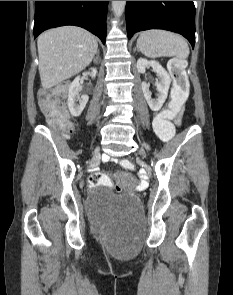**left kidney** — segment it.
<instances>
[{
  "label": "left kidney",
  "instance_id": "left-kidney-1",
  "mask_svg": "<svg viewBox=\"0 0 233 295\" xmlns=\"http://www.w3.org/2000/svg\"><path fill=\"white\" fill-rule=\"evenodd\" d=\"M147 66H151L157 73L159 81H156V88L159 95L157 99H152L149 85L146 82H142V91L150 109L153 111H159L167 98L171 79L167 71L159 64V62L155 60L148 61L144 58H139L137 60V69L139 73H145Z\"/></svg>",
  "mask_w": 233,
  "mask_h": 295
}]
</instances>
